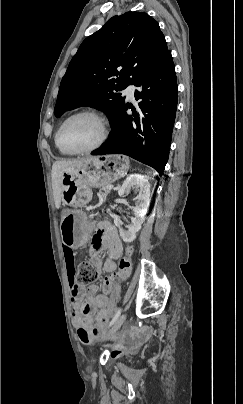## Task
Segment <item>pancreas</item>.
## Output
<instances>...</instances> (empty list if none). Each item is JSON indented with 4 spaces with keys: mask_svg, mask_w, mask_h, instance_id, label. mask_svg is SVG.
Returning a JSON list of instances; mask_svg holds the SVG:
<instances>
[{
    "mask_svg": "<svg viewBox=\"0 0 243 404\" xmlns=\"http://www.w3.org/2000/svg\"><path fill=\"white\" fill-rule=\"evenodd\" d=\"M100 196V200H106V196L107 194H109V190H106V188H101L100 192H99Z\"/></svg>",
    "mask_w": 243,
    "mask_h": 404,
    "instance_id": "1",
    "label": "pancreas"
}]
</instances>
